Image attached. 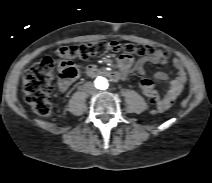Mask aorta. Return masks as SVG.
<instances>
[{
    "mask_svg": "<svg viewBox=\"0 0 212 183\" xmlns=\"http://www.w3.org/2000/svg\"><path fill=\"white\" fill-rule=\"evenodd\" d=\"M95 86L99 90H106L109 86L108 79L105 76H98L95 79Z\"/></svg>",
    "mask_w": 212,
    "mask_h": 183,
    "instance_id": "aorta-1",
    "label": "aorta"
}]
</instances>
